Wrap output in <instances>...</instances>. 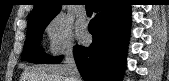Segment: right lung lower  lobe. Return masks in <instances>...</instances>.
<instances>
[{"mask_svg": "<svg viewBox=\"0 0 169 81\" xmlns=\"http://www.w3.org/2000/svg\"><path fill=\"white\" fill-rule=\"evenodd\" d=\"M96 16L88 30L93 42L88 47L76 45L75 62L85 81H121L130 30V5L121 0H97ZM63 56L48 63L58 64Z\"/></svg>", "mask_w": 169, "mask_h": 81, "instance_id": "98d812e1", "label": "right lung lower lobe"}]
</instances>
